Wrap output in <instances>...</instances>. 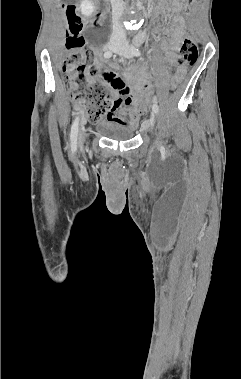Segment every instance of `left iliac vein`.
<instances>
[{"mask_svg": "<svg viewBox=\"0 0 241 379\" xmlns=\"http://www.w3.org/2000/svg\"><path fill=\"white\" fill-rule=\"evenodd\" d=\"M116 53H118L121 56H124L126 58L132 57V51L131 47L127 43H123L117 50ZM155 113L152 112L150 119L144 123V129H147L149 131H153L154 126H155ZM156 144L160 145V141L157 139Z\"/></svg>", "mask_w": 241, "mask_h": 379, "instance_id": "1", "label": "left iliac vein"}]
</instances>
